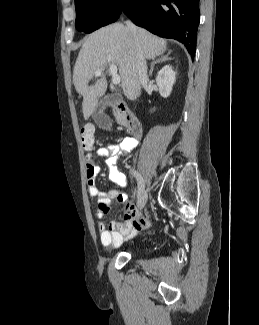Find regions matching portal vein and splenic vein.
Listing matches in <instances>:
<instances>
[{
    "instance_id": "portal-vein-and-splenic-vein-1",
    "label": "portal vein and splenic vein",
    "mask_w": 259,
    "mask_h": 325,
    "mask_svg": "<svg viewBox=\"0 0 259 325\" xmlns=\"http://www.w3.org/2000/svg\"><path fill=\"white\" fill-rule=\"evenodd\" d=\"M102 69H98L96 72H95V76L99 77L101 76L102 74ZM109 71L112 75V83L117 85L120 83L121 81V78L120 76L117 74V66L115 64H110L109 65Z\"/></svg>"
}]
</instances>
